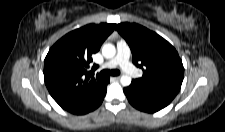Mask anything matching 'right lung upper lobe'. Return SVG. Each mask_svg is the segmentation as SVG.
<instances>
[{"label":"right lung upper lobe","mask_w":225,"mask_h":132,"mask_svg":"<svg viewBox=\"0 0 225 132\" xmlns=\"http://www.w3.org/2000/svg\"><path fill=\"white\" fill-rule=\"evenodd\" d=\"M116 24H89L58 40L44 60V80L53 99L65 110L85 107L100 94L105 78L87 72ZM97 66L94 65V68Z\"/></svg>","instance_id":"right-lung-upper-lobe-1"}]
</instances>
